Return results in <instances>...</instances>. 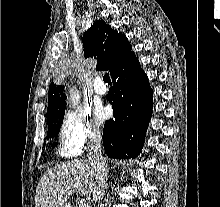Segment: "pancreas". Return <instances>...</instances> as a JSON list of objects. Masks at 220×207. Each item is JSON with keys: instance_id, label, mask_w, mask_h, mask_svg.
I'll list each match as a JSON object with an SVG mask.
<instances>
[{"instance_id": "1", "label": "pancreas", "mask_w": 220, "mask_h": 207, "mask_svg": "<svg viewBox=\"0 0 220 207\" xmlns=\"http://www.w3.org/2000/svg\"><path fill=\"white\" fill-rule=\"evenodd\" d=\"M74 207H80V203L77 201L76 206Z\"/></svg>"}]
</instances>
